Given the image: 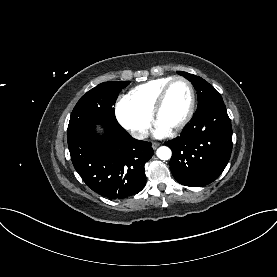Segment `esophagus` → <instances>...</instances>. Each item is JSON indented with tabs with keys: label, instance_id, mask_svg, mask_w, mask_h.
Instances as JSON below:
<instances>
[{
	"label": "esophagus",
	"instance_id": "1",
	"mask_svg": "<svg viewBox=\"0 0 277 277\" xmlns=\"http://www.w3.org/2000/svg\"><path fill=\"white\" fill-rule=\"evenodd\" d=\"M159 145H160V143H158V142H153V143H152V148H153V149H157V147H159Z\"/></svg>",
	"mask_w": 277,
	"mask_h": 277
}]
</instances>
